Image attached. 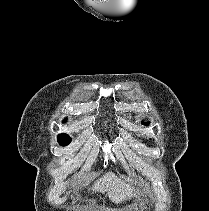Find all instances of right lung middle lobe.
Instances as JSON below:
<instances>
[{
  "instance_id": "dd1d6c3e",
  "label": "right lung middle lobe",
  "mask_w": 209,
  "mask_h": 211,
  "mask_svg": "<svg viewBox=\"0 0 209 211\" xmlns=\"http://www.w3.org/2000/svg\"><path fill=\"white\" fill-rule=\"evenodd\" d=\"M58 142L62 146H66V145H68L71 142V138L68 135H66V134H60L58 136Z\"/></svg>"
}]
</instances>
